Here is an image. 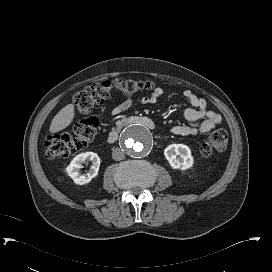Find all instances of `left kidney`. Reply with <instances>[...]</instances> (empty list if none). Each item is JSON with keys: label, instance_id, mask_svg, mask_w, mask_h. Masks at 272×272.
I'll return each instance as SVG.
<instances>
[{"label": "left kidney", "instance_id": "obj_1", "mask_svg": "<svg viewBox=\"0 0 272 272\" xmlns=\"http://www.w3.org/2000/svg\"><path fill=\"white\" fill-rule=\"evenodd\" d=\"M165 158L173 169L187 170L193 166L191 150L184 144H171L164 150Z\"/></svg>", "mask_w": 272, "mask_h": 272}]
</instances>
